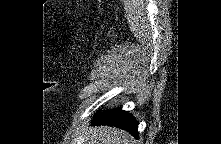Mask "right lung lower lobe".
I'll list each match as a JSON object with an SVG mask.
<instances>
[{
	"label": "right lung lower lobe",
	"instance_id": "98d812e1",
	"mask_svg": "<svg viewBox=\"0 0 221 144\" xmlns=\"http://www.w3.org/2000/svg\"><path fill=\"white\" fill-rule=\"evenodd\" d=\"M92 124L116 126L128 131L135 138L138 137L137 120L121 108L107 110L94 116Z\"/></svg>",
	"mask_w": 221,
	"mask_h": 144
}]
</instances>
